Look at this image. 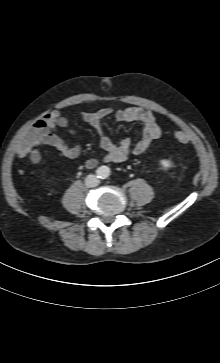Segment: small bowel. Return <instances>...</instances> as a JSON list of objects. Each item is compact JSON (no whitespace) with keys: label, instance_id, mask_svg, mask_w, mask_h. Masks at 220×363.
<instances>
[{"label":"small bowel","instance_id":"1","mask_svg":"<svg viewBox=\"0 0 220 363\" xmlns=\"http://www.w3.org/2000/svg\"><path fill=\"white\" fill-rule=\"evenodd\" d=\"M113 114L117 121L139 122L143 125L141 138L134 144L129 139H123L115 143L105 132L102 121L105 117ZM81 118L93 126L100 136L101 148L105 151L103 160L107 163H120L127 159L130 153L139 155L144 153L153 140L159 138L162 134L161 127L156 121L154 114L142 107H127L124 109L113 110L106 107L93 112H81ZM43 123V127H38L37 123L29 130L21 145L17 149L19 157L29 155L31 161L35 164L40 161L38 145H48L54 147L63 156L75 159L81 154L80 145H69L63 138L54 133L56 128H62L74 134L75 130L70 127L69 121L58 112L49 114L44 120L38 121ZM37 131H42L41 139L36 142L33 135ZM98 164L95 158L88 159L85 162L87 168H94Z\"/></svg>","mask_w":220,"mask_h":363}]
</instances>
